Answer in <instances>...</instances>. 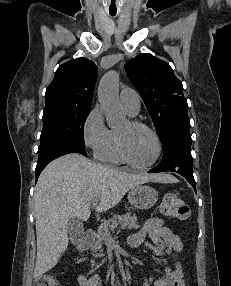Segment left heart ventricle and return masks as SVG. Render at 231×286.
Here are the masks:
<instances>
[{
    "label": "left heart ventricle",
    "mask_w": 231,
    "mask_h": 286,
    "mask_svg": "<svg viewBox=\"0 0 231 286\" xmlns=\"http://www.w3.org/2000/svg\"><path fill=\"white\" fill-rule=\"evenodd\" d=\"M117 132L122 135L126 151L135 163L147 164L155 157L156 142L146 129L130 127L127 121Z\"/></svg>",
    "instance_id": "obj_1"
}]
</instances>
